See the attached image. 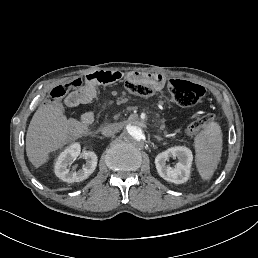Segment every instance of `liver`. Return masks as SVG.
Instances as JSON below:
<instances>
[{
    "label": "liver",
    "mask_w": 258,
    "mask_h": 258,
    "mask_svg": "<svg viewBox=\"0 0 258 258\" xmlns=\"http://www.w3.org/2000/svg\"><path fill=\"white\" fill-rule=\"evenodd\" d=\"M61 110L59 103L47 104L40 106L33 115L27 131L26 152L35 167L45 162L49 152L67 142L68 134L76 123L67 120Z\"/></svg>",
    "instance_id": "obj_1"
}]
</instances>
